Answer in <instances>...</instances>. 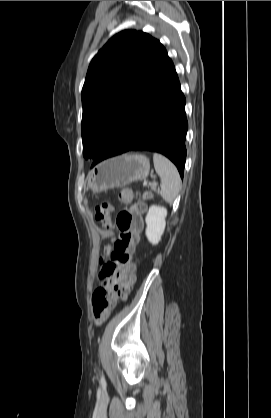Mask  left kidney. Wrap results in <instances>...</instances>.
Wrapping results in <instances>:
<instances>
[{
	"instance_id": "5707ae66",
	"label": "left kidney",
	"mask_w": 271,
	"mask_h": 418,
	"mask_svg": "<svg viewBox=\"0 0 271 418\" xmlns=\"http://www.w3.org/2000/svg\"><path fill=\"white\" fill-rule=\"evenodd\" d=\"M167 216V209L161 206L152 205L146 215V237L148 241L156 245L161 240L165 230V218Z\"/></svg>"
}]
</instances>
